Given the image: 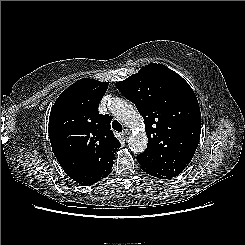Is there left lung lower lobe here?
<instances>
[{"label": "left lung lower lobe", "mask_w": 245, "mask_h": 245, "mask_svg": "<svg viewBox=\"0 0 245 245\" xmlns=\"http://www.w3.org/2000/svg\"><path fill=\"white\" fill-rule=\"evenodd\" d=\"M148 174H150V175H152V176H155V177H158V178H160V179H171V178H164V177L159 176L158 174H155V173H148Z\"/></svg>", "instance_id": "1"}]
</instances>
